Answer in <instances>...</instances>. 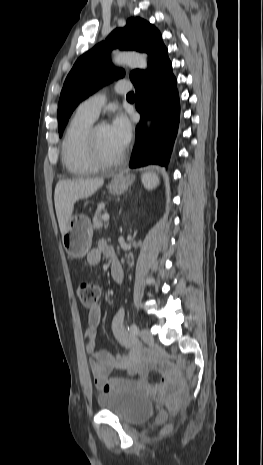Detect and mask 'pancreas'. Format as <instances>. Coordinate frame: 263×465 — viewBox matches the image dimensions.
Instances as JSON below:
<instances>
[{
  "instance_id": "cf45deb5",
  "label": "pancreas",
  "mask_w": 263,
  "mask_h": 465,
  "mask_svg": "<svg viewBox=\"0 0 263 465\" xmlns=\"http://www.w3.org/2000/svg\"><path fill=\"white\" fill-rule=\"evenodd\" d=\"M103 215L101 213V210L100 209H97V211L95 212L94 214V217H93V228L94 229H102L103 225L105 228L108 227V224H104L103 223V219H102Z\"/></svg>"
}]
</instances>
